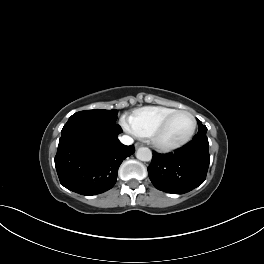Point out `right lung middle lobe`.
I'll return each mask as SVG.
<instances>
[{"mask_svg":"<svg viewBox=\"0 0 264 264\" xmlns=\"http://www.w3.org/2000/svg\"><path fill=\"white\" fill-rule=\"evenodd\" d=\"M92 119L98 122L102 123H108V124H114L117 118V110H86V111H80L75 114H73L69 120L72 119Z\"/></svg>","mask_w":264,"mask_h":264,"instance_id":"1","label":"right lung middle lobe"}]
</instances>
